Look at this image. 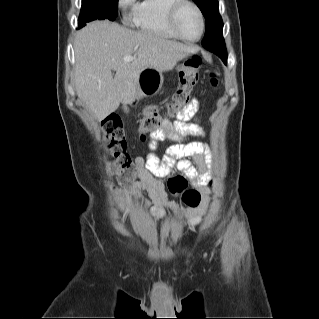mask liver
I'll return each mask as SVG.
<instances>
[{
    "mask_svg": "<svg viewBox=\"0 0 319 319\" xmlns=\"http://www.w3.org/2000/svg\"><path fill=\"white\" fill-rule=\"evenodd\" d=\"M74 51L77 96L101 121L120 103L130 104L140 96L138 77L143 69L170 71L197 48L117 23L94 21L77 32ZM125 56L134 59L124 61Z\"/></svg>",
    "mask_w": 319,
    "mask_h": 319,
    "instance_id": "obj_1",
    "label": "liver"
}]
</instances>
